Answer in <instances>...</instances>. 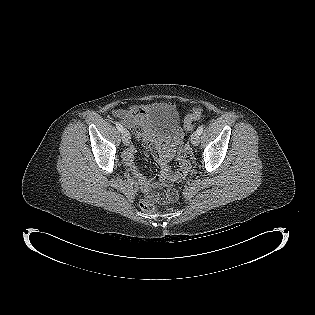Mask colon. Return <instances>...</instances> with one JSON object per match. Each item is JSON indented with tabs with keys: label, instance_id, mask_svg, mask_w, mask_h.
Here are the masks:
<instances>
[{
	"label": "colon",
	"instance_id": "5ec220e1",
	"mask_svg": "<svg viewBox=\"0 0 315 315\" xmlns=\"http://www.w3.org/2000/svg\"><path fill=\"white\" fill-rule=\"evenodd\" d=\"M202 115V107L200 105H195L192 107L190 112L186 115L184 119V124L182 128V135L193 130L196 121L200 119ZM177 165L178 170L175 171L171 176V181H180L188 173L190 166L187 160L186 151L184 143L181 141L179 144V150L177 155ZM177 196V191L175 189H170L167 193L162 194L158 197L161 202L174 200ZM141 208L144 212L153 213L156 211V206L153 203V198H148L144 200L141 204Z\"/></svg>",
	"mask_w": 315,
	"mask_h": 315
}]
</instances>
